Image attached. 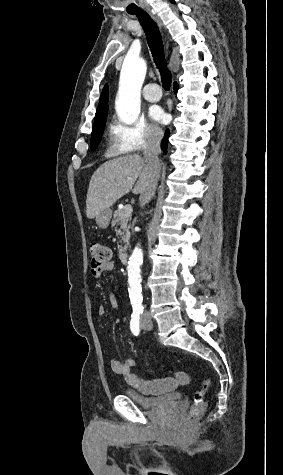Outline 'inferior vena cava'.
Masks as SVG:
<instances>
[{
	"instance_id": "inferior-vena-cava-1",
	"label": "inferior vena cava",
	"mask_w": 283,
	"mask_h": 475,
	"mask_svg": "<svg viewBox=\"0 0 283 475\" xmlns=\"http://www.w3.org/2000/svg\"><path fill=\"white\" fill-rule=\"evenodd\" d=\"M163 136V132H147L146 134L147 144L144 148L143 158L147 164L144 172L149 176V182L145 194L140 196L141 206L148 204L156 192L161 172V160H159L158 156L161 154L160 144Z\"/></svg>"
}]
</instances>
